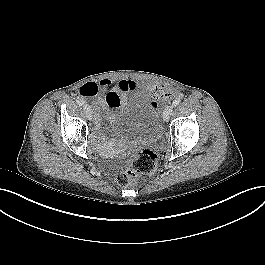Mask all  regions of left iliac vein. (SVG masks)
Segmentation results:
<instances>
[{
    "label": "left iliac vein",
    "instance_id": "4c4485c4",
    "mask_svg": "<svg viewBox=\"0 0 265 265\" xmlns=\"http://www.w3.org/2000/svg\"><path fill=\"white\" fill-rule=\"evenodd\" d=\"M172 112H173V107L172 106H168L164 112H163V119L164 121H168L169 118L171 117L172 115Z\"/></svg>",
    "mask_w": 265,
    "mask_h": 265
}]
</instances>
